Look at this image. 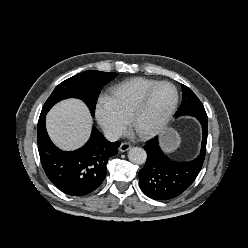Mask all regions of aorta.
<instances>
[{
    "label": "aorta",
    "mask_w": 248,
    "mask_h": 248,
    "mask_svg": "<svg viewBox=\"0 0 248 248\" xmlns=\"http://www.w3.org/2000/svg\"><path fill=\"white\" fill-rule=\"evenodd\" d=\"M146 158L147 154L143 148L133 147L128 151V159L134 164H143Z\"/></svg>",
    "instance_id": "obj_1"
}]
</instances>
